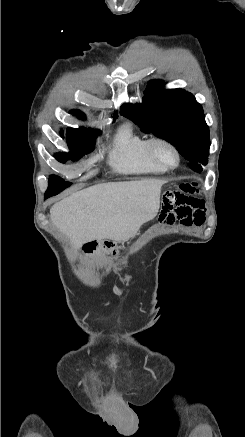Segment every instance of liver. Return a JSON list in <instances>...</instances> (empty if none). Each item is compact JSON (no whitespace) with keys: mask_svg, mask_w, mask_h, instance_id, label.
I'll return each mask as SVG.
<instances>
[{"mask_svg":"<svg viewBox=\"0 0 245 437\" xmlns=\"http://www.w3.org/2000/svg\"><path fill=\"white\" fill-rule=\"evenodd\" d=\"M164 183L144 179L88 187L55 203L51 221L76 249L92 240H129L157 216Z\"/></svg>","mask_w":245,"mask_h":437,"instance_id":"liver-1","label":"liver"}]
</instances>
